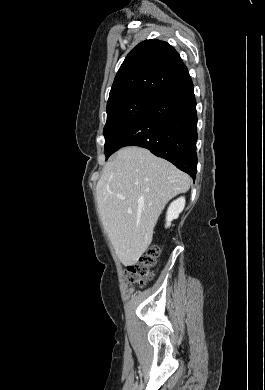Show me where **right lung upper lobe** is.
I'll return each mask as SVG.
<instances>
[{
	"label": "right lung upper lobe",
	"instance_id": "cb5924a9",
	"mask_svg": "<svg viewBox=\"0 0 265 390\" xmlns=\"http://www.w3.org/2000/svg\"><path fill=\"white\" fill-rule=\"evenodd\" d=\"M177 51L167 42L145 40L126 56L114 79L107 105L134 96H159L188 75Z\"/></svg>",
	"mask_w": 265,
	"mask_h": 390
}]
</instances>
